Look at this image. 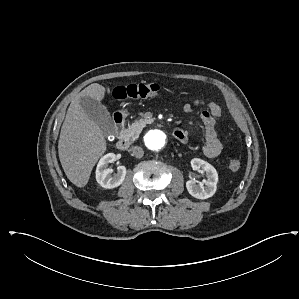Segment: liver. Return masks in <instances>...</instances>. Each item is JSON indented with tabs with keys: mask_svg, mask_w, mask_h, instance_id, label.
<instances>
[{
	"mask_svg": "<svg viewBox=\"0 0 299 299\" xmlns=\"http://www.w3.org/2000/svg\"><path fill=\"white\" fill-rule=\"evenodd\" d=\"M105 91L98 83L83 89L72 100L61 128L59 159L67 178L77 187L88 183L93 167L107 149L103 131L84 112L80 98L90 97L100 102Z\"/></svg>",
	"mask_w": 299,
	"mask_h": 299,
	"instance_id": "1",
	"label": "liver"
}]
</instances>
